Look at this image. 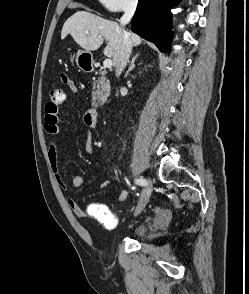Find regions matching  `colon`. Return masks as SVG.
<instances>
[{
	"mask_svg": "<svg viewBox=\"0 0 249 294\" xmlns=\"http://www.w3.org/2000/svg\"><path fill=\"white\" fill-rule=\"evenodd\" d=\"M65 100V93L61 88H53L50 91L49 104L57 106Z\"/></svg>",
	"mask_w": 249,
	"mask_h": 294,
	"instance_id": "obj_1",
	"label": "colon"
}]
</instances>
